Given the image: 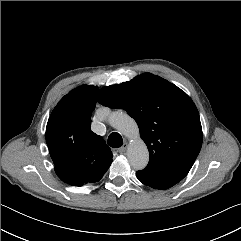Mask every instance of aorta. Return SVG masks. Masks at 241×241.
Segmentation results:
<instances>
[{
    "label": "aorta",
    "instance_id": "1",
    "mask_svg": "<svg viewBox=\"0 0 241 241\" xmlns=\"http://www.w3.org/2000/svg\"><path fill=\"white\" fill-rule=\"evenodd\" d=\"M107 120L112 127L131 139L127 149V157L131 166L136 170L144 169L149 161V152L146 144L140 138L135 120L121 111L109 114Z\"/></svg>",
    "mask_w": 241,
    "mask_h": 241
}]
</instances>
